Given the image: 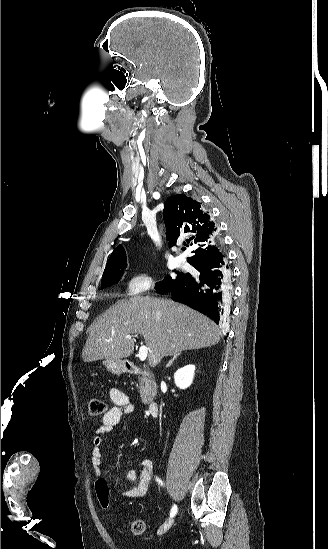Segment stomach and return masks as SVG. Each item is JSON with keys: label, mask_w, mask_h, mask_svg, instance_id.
Returning a JSON list of instances; mask_svg holds the SVG:
<instances>
[{"label": "stomach", "mask_w": 328, "mask_h": 549, "mask_svg": "<svg viewBox=\"0 0 328 549\" xmlns=\"http://www.w3.org/2000/svg\"><path fill=\"white\" fill-rule=\"evenodd\" d=\"M103 365L106 367L107 371H110L113 375L130 373V369H132V365L127 359H105Z\"/></svg>", "instance_id": "obj_1"}]
</instances>
